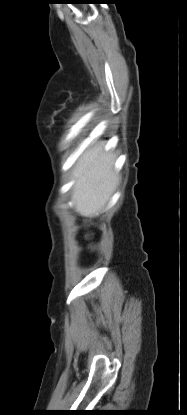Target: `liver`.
Returning a JSON list of instances; mask_svg holds the SVG:
<instances>
[{
	"label": "liver",
	"mask_w": 187,
	"mask_h": 415,
	"mask_svg": "<svg viewBox=\"0 0 187 415\" xmlns=\"http://www.w3.org/2000/svg\"><path fill=\"white\" fill-rule=\"evenodd\" d=\"M115 156L104 144L88 148L79 157L73 171L71 200L74 210L83 217H93L112 196L119 181Z\"/></svg>",
	"instance_id": "obj_1"
}]
</instances>
